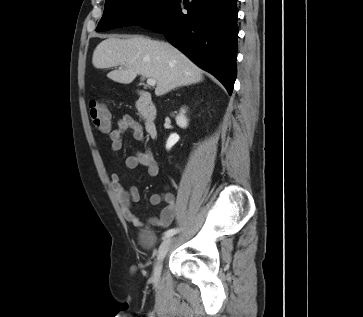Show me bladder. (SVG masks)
Masks as SVG:
<instances>
[{
    "label": "bladder",
    "instance_id": "1",
    "mask_svg": "<svg viewBox=\"0 0 363 317\" xmlns=\"http://www.w3.org/2000/svg\"><path fill=\"white\" fill-rule=\"evenodd\" d=\"M139 240L143 247L152 249L156 243V235L150 230H142L139 233Z\"/></svg>",
    "mask_w": 363,
    "mask_h": 317
}]
</instances>
